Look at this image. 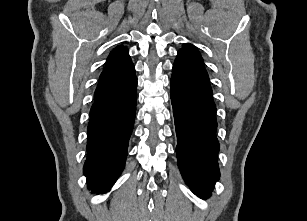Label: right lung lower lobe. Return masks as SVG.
I'll return each mask as SVG.
<instances>
[{"label": "right lung lower lobe", "mask_w": 307, "mask_h": 221, "mask_svg": "<svg viewBox=\"0 0 307 221\" xmlns=\"http://www.w3.org/2000/svg\"><path fill=\"white\" fill-rule=\"evenodd\" d=\"M136 77L124 87L94 95L84 174L92 192L105 193L124 168L137 100Z\"/></svg>", "instance_id": "right-lung-lower-lobe-1"}]
</instances>
